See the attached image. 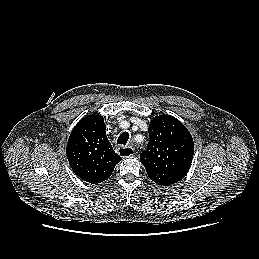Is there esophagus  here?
<instances>
[{
  "label": "esophagus",
  "mask_w": 259,
  "mask_h": 259,
  "mask_svg": "<svg viewBox=\"0 0 259 259\" xmlns=\"http://www.w3.org/2000/svg\"><path fill=\"white\" fill-rule=\"evenodd\" d=\"M134 148L131 146H121L118 148V153L123 158L132 157L134 155Z\"/></svg>",
  "instance_id": "esophagus-1"
}]
</instances>
